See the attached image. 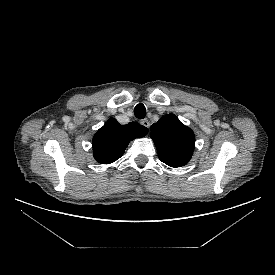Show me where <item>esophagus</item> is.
<instances>
[{
	"label": "esophagus",
	"instance_id": "esophagus-1",
	"mask_svg": "<svg viewBox=\"0 0 275 275\" xmlns=\"http://www.w3.org/2000/svg\"><path fill=\"white\" fill-rule=\"evenodd\" d=\"M141 125H143L146 128H150V122L147 119H143L141 122Z\"/></svg>",
	"mask_w": 275,
	"mask_h": 275
}]
</instances>
